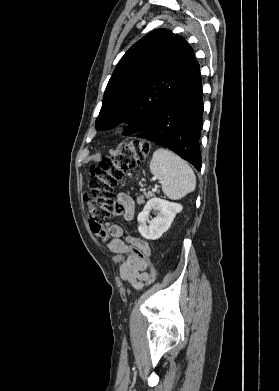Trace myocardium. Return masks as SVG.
Instances as JSON below:
<instances>
[{
    "label": "myocardium",
    "mask_w": 279,
    "mask_h": 391,
    "mask_svg": "<svg viewBox=\"0 0 279 391\" xmlns=\"http://www.w3.org/2000/svg\"><path fill=\"white\" fill-rule=\"evenodd\" d=\"M124 127H126V124H121L120 125V128L123 129Z\"/></svg>",
    "instance_id": "myocardium-1"
}]
</instances>
